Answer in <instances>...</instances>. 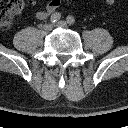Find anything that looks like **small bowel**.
I'll return each mask as SVG.
<instances>
[{
	"instance_id": "1",
	"label": "small bowel",
	"mask_w": 128,
	"mask_h": 128,
	"mask_svg": "<svg viewBox=\"0 0 128 128\" xmlns=\"http://www.w3.org/2000/svg\"><path fill=\"white\" fill-rule=\"evenodd\" d=\"M29 4H34L35 0H27ZM61 0H50L42 9L36 12V18L44 20L54 13L60 6Z\"/></svg>"
}]
</instances>
